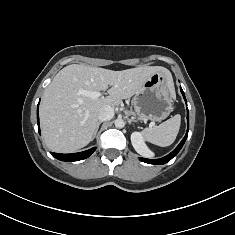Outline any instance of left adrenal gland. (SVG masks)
<instances>
[{
    "mask_svg": "<svg viewBox=\"0 0 235 235\" xmlns=\"http://www.w3.org/2000/svg\"><path fill=\"white\" fill-rule=\"evenodd\" d=\"M127 121H128V123H129V125L132 123V122H135L134 120H132V119H127Z\"/></svg>",
    "mask_w": 235,
    "mask_h": 235,
    "instance_id": "a2214340",
    "label": "left adrenal gland"
}]
</instances>
